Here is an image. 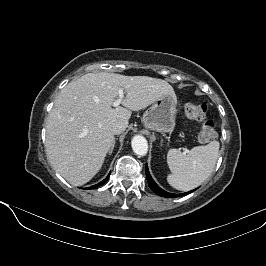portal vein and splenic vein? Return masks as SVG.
Returning a JSON list of instances; mask_svg holds the SVG:
<instances>
[{
    "instance_id": "18ae733b",
    "label": "portal vein and splenic vein",
    "mask_w": 266,
    "mask_h": 266,
    "mask_svg": "<svg viewBox=\"0 0 266 266\" xmlns=\"http://www.w3.org/2000/svg\"><path fill=\"white\" fill-rule=\"evenodd\" d=\"M118 96H119V99L115 100L112 103V106H114V107L119 106L123 101V98H124V89L123 88L118 89Z\"/></svg>"
}]
</instances>
